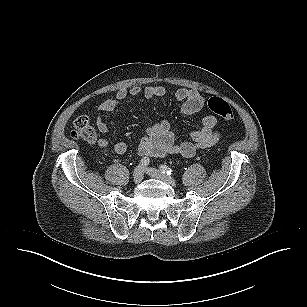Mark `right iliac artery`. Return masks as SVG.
<instances>
[{"label":"right iliac artery","instance_id":"82829eb1","mask_svg":"<svg viewBox=\"0 0 307 307\" xmlns=\"http://www.w3.org/2000/svg\"><path fill=\"white\" fill-rule=\"evenodd\" d=\"M149 163H150V160H149L148 158H142V159L140 160V164H141V166H143V167H146L147 165H149Z\"/></svg>","mask_w":307,"mask_h":307}]
</instances>
